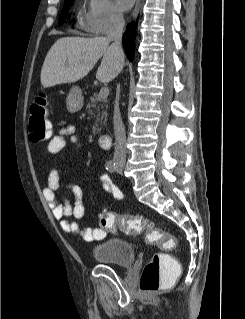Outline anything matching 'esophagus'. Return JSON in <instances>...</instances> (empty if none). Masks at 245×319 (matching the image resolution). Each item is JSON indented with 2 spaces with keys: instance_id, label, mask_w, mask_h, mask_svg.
<instances>
[{
  "instance_id": "esophagus-1",
  "label": "esophagus",
  "mask_w": 245,
  "mask_h": 319,
  "mask_svg": "<svg viewBox=\"0 0 245 319\" xmlns=\"http://www.w3.org/2000/svg\"><path fill=\"white\" fill-rule=\"evenodd\" d=\"M140 6H141V0H137L135 8H134L133 13H132L133 20H135L137 18L138 14H139Z\"/></svg>"
}]
</instances>
